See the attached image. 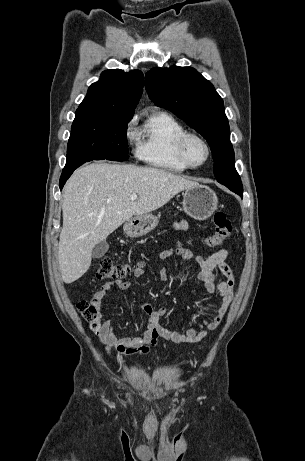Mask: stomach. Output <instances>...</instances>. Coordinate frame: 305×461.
Returning <instances> with one entry per match:
<instances>
[{
  "instance_id": "1",
  "label": "stomach",
  "mask_w": 305,
  "mask_h": 461,
  "mask_svg": "<svg viewBox=\"0 0 305 461\" xmlns=\"http://www.w3.org/2000/svg\"><path fill=\"white\" fill-rule=\"evenodd\" d=\"M183 211L196 220L209 218L217 209L218 198L207 186L197 185L186 189L183 193ZM159 217L153 214L135 216L124 224V233L132 238L143 236L156 228Z\"/></svg>"
}]
</instances>
